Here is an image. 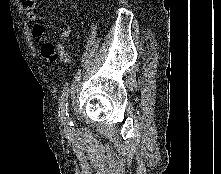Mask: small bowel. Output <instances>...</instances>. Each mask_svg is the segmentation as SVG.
I'll list each match as a JSON object with an SVG mask.
<instances>
[{
	"label": "small bowel",
	"mask_w": 221,
	"mask_h": 174,
	"mask_svg": "<svg viewBox=\"0 0 221 174\" xmlns=\"http://www.w3.org/2000/svg\"><path fill=\"white\" fill-rule=\"evenodd\" d=\"M22 4L28 20L33 22L37 21L38 14L36 11V0H22ZM70 31V27L66 26L59 34V39L62 40L67 38ZM34 33L38 38L44 39L41 46V54L47 61L54 62L57 58H60L65 63H69L71 61V56L65 51L63 45L54 44L45 38L43 25L36 24L34 26Z\"/></svg>",
	"instance_id": "c3829d8e"
}]
</instances>
